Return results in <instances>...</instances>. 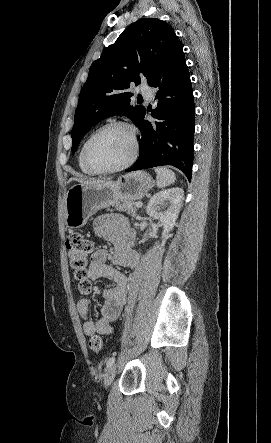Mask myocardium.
<instances>
[{"instance_id":"f54148a6","label":"myocardium","mask_w":271,"mask_h":443,"mask_svg":"<svg viewBox=\"0 0 271 443\" xmlns=\"http://www.w3.org/2000/svg\"><path fill=\"white\" fill-rule=\"evenodd\" d=\"M112 127H121L126 129L129 132L131 141H132V151L130 153V156L128 157V159L123 162L122 164L115 166V167H111V168H101L98 167L97 165H95L91 159H90V148L92 143L97 139V137L102 134L105 130L112 128ZM140 149H141V143H140V138H139V134L137 129L130 123L122 121V120H114L111 122H108L104 125H102L101 127H99L96 131H94L91 136L88 138V140L86 141L84 148H83V161L85 163V165L92 170L93 172L97 173V174H110V173H115V172H119L121 170H124L126 168H128L129 166H131L136 159L138 158L139 154H140Z\"/></svg>"}]
</instances>
